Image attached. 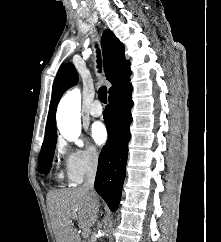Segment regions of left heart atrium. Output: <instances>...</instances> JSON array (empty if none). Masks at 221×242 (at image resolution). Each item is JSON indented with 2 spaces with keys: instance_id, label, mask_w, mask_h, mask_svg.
<instances>
[{
  "instance_id": "obj_1",
  "label": "left heart atrium",
  "mask_w": 221,
  "mask_h": 242,
  "mask_svg": "<svg viewBox=\"0 0 221 242\" xmlns=\"http://www.w3.org/2000/svg\"><path fill=\"white\" fill-rule=\"evenodd\" d=\"M91 134L97 144H103L108 137V132L104 124L97 122L92 126Z\"/></svg>"
}]
</instances>
